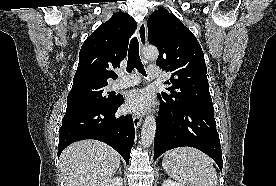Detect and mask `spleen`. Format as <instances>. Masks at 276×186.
<instances>
[{
	"instance_id": "3e777b00",
	"label": "spleen",
	"mask_w": 276,
	"mask_h": 186,
	"mask_svg": "<svg viewBox=\"0 0 276 186\" xmlns=\"http://www.w3.org/2000/svg\"><path fill=\"white\" fill-rule=\"evenodd\" d=\"M162 165L172 179L184 186H217V173L212 160L192 147L166 152Z\"/></svg>"
}]
</instances>
